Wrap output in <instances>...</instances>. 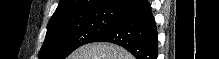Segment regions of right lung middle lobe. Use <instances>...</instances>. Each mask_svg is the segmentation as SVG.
Instances as JSON below:
<instances>
[{"label": "right lung middle lobe", "instance_id": "dd1d6c3e", "mask_svg": "<svg viewBox=\"0 0 219 59\" xmlns=\"http://www.w3.org/2000/svg\"><path fill=\"white\" fill-rule=\"evenodd\" d=\"M113 9L85 11L50 20L39 59H65L78 47L91 43L122 20Z\"/></svg>", "mask_w": 219, "mask_h": 59}]
</instances>
